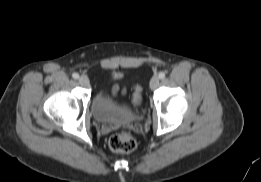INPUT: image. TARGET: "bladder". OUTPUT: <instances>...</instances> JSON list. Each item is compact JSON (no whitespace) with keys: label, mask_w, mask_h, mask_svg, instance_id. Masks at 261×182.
Listing matches in <instances>:
<instances>
[{"label":"bladder","mask_w":261,"mask_h":182,"mask_svg":"<svg viewBox=\"0 0 261 182\" xmlns=\"http://www.w3.org/2000/svg\"><path fill=\"white\" fill-rule=\"evenodd\" d=\"M91 109L95 120L100 123L128 122L134 118L128 112L127 104L124 101L108 98L102 89L95 93Z\"/></svg>","instance_id":"31cf9c89"}]
</instances>
